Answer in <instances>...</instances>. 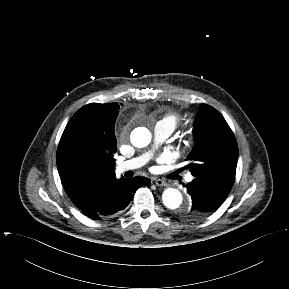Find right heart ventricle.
Returning a JSON list of instances; mask_svg holds the SVG:
<instances>
[{"mask_svg":"<svg viewBox=\"0 0 289 289\" xmlns=\"http://www.w3.org/2000/svg\"><path fill=\"white\" fill-rule=\"evenodd\" d=\"M162 120L167 122L174 129L179 124L181 117L177 113H168Z\"/></svg>","mask_w":289,"mask_h":289,"instance_id":"e07e8e85","label":"right heart ventricle"}]
</instances>
